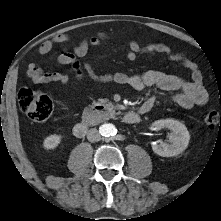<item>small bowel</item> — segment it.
Wrapping results in <instances>:
<instances>
[{"mask_svg": "<svg viewBox=\"0 0 221 221\" xmlns=\"http://www.w3.org/2000/svg\"><path fill=\"white\" fill-rule=\"evenodd\" d=\"M107 35L99 32L97 35L85 38L75 45L71 51L60 54L56 62L59 65L72 67L75 77L82 80L88 77L100 83H118L131 86L141 91L146 86L157 87L165 91H173L172 101L184 109L201 106L208 101V94L202 85V76L198 66L181 53L172 51L163 43H149L141 45L137 41H131L124 51L128 60H135L138 55H165L170 61L180 63L191 72V79L187 80L176 75L166 74L157 70H149L141 74L129 75L126 73H98L88 62L81 61L93 46L100 45ZM70 38L67 34H58L53 38L42 42L38 47L40 55L48 54L55 45L65 44ZM27 76L35 84L61 83L69 85L70 78L67 74L57 71H45L39 64L32 62L28 65ZM155 96L149 97L140 107L142 113L148 112L155 104Z\"/></svg>", "mask_w": 221, "mask_h": 221, "instance_id": "1", "label": "small bowel"}]
</instances>
